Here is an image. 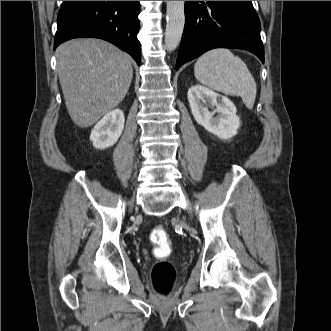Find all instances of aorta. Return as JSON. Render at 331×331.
Instances as JSON below:
<instances>
[{"label": "aorta", "mask_w": 331, "mask_h": 331, "mask_svg": "<svg viewBox=\"0 0 331 331\" xmlns=\"http://www.w3.org/2000/svg\"><path fill=\"white\" fill-rule=\"evenodd\" d=\"M167 24L165 30V48L173 51L179 45L185 25V1H166Z\"/></svg>", "instance_id": "1"}]
</instances>
